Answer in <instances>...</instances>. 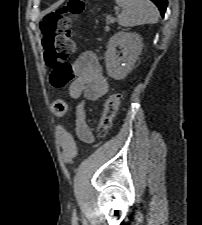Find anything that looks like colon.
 Returning <instances> with one entry per match:
<instances>
[{
    "mask_svg": "<svg viewBox=\"0 0 202 225\" xmlns=\"http://www.w3.org/2000/svg\"><path fill=\"white\" fill-rule=\"evenodd\" d=\"M83 0H70L57 11L48 14L40 24L44 46V63L51 70L50 81L56 88H64L73 78L68 58L73 52L74 44L70 38L73 21L82 13ZM121 95L111 93L105 103L102 117L97 127L98 137H106L117 115ZM68 104L64 99L53 101L52 111L56 116L66 115ZM63 158L71 163L77 154L76 144L67 133L62 136Z\"/></svg>",
    "mask_w": 202,
    "mask_h": 225,
    "instance_id": "5ec220e1",
    "label": "colon"
}]
</instances>
